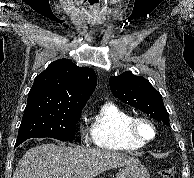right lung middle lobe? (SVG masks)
<instances>
[{
  "instance_id": "right-lung-middle-lobe-1",
  "label": "right lung middle lobe",
  "mask_w": 194,
  "mask_h": 178,
  "mask_svg": "<svg viewBox=\"0 0 194 178\" xmlns=\"http://www.w3.org/2000/svg\"><path fill=\"white\" fill-rule=\"evenodd\" d=\"M81 109H72L49 100L27 101L17 140L51 137L74 140Z\"/></svg>"
}]
</instances>
